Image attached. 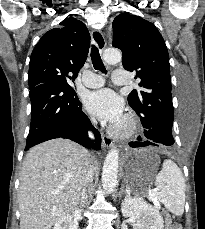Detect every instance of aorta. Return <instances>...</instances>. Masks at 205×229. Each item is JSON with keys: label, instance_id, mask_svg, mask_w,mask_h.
<instances>
[{"label": "aorta", "instance_id": "aorta-1", "mask_svg": "<svg viewBox=\"0 0 205 229\" xmlns=\"http://www.w3.org/2000/svg\"><path fill=\"white\" fill-rule=\"evenodd\" d=\"M103 59L108 64H115L121 61L122 54L115 48L106 49ZM119 166V152L116 147H112L105 158L102 170V186L105 192L111 193L117 185V174Z\"/></svg>", "mask_w": 205, "mask_h": 229}]
</instances>
